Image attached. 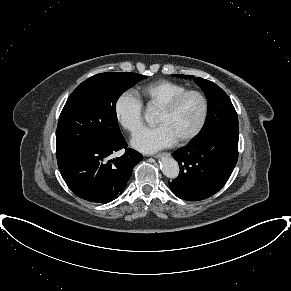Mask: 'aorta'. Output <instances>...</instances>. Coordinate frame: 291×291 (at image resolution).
<instances>
[{
  "mask_svg": "<svg viewBox=\"0 0 291 291\" xmlns=\"http://www.w3.org/2000/svg\"><path fill=\"white\" fill-rule=\"evenodd\" d=\"M152 116V111L148 108L145 119L150 122ZM160 166L163 174L170 179H175L179 175V165L177 161L171 157H163Z\"/></svg>",
  "mask_w": 291,
  "mask_h": 291,
  "instance_id": "762f6f07",
  "label": "aorta"
}]
</instances>
